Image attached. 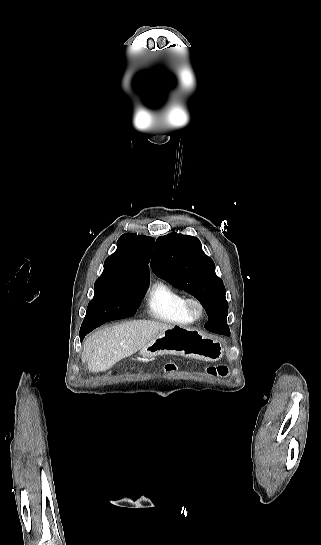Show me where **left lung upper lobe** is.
Masks as SVG:
<instances>
[{
  "label": "left lung upper lobe",
  "mask_w": 321,
  "mask_h": 545,
  "mask_svg": "<svg viewBox=\"0 0 321 545\" xmlns=\"http://www.w3.org/2000/svg\"><path fill=\"white\" fill-rule=\"evenodd\" d=\"M155 274L197 298L206 312H228L223 282L197 237L172 232L157 238L151 260Z\"/></svg>",
  "instance_id": "1"
}]
</instances>
